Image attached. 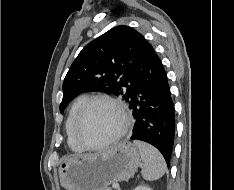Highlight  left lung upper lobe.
Returning <instances> with one entry per match:
<instances>
[{
	"label": "left lung upper lobe",
	"instance_id": "1",
	"mask_svg": "<svg viewBox=\"0 0 234 190\" xmlns=\"http://www.w3.org/2000/svg\"><path fill=\"white\" fill-rule=\"evenodd\" d=\"M143 39L133 28L120 25L86 45L64 79L60 112L74 97L88 91L121 95L129 102Z\"/></svg>",
	"mask_w": 234,
	"mask_h": 190
}]
</instances>
